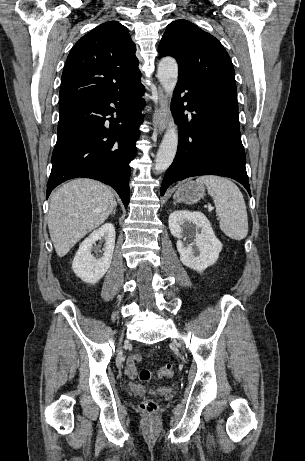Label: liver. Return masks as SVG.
<instances>
[{"instance_id":"obj_1","label":"liver","mask_w":305,"mask_h":461,"mask_svg":"<svg viewBox=\"0 0 305 461\" xmlns=\"http://www.w3.org/2000/svg\"><path fill=\"white\" fill-rule=\"evenodd\" d=\"M117 206L114 195L104 184L90 179H75L51 196L48 228L59 257L87 233L101 225Z\"/></svg>"}]
</instances>
